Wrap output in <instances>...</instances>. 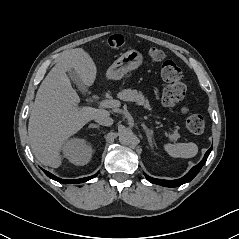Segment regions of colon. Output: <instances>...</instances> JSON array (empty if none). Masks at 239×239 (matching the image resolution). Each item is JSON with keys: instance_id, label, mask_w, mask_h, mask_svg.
Listing matches in <instances>:
<instances>
[{"instance_id": "colon-1", "label": "colon", "mask_w": 239, "mask_h": 239, "mask_svg": "<svg viewBox=\"0 0 239 239\" xmlns=\"http://www.w3.org/2000/svg\"><path fill=\"white\" fill-rule=\"evenodd\" d=\"M123 44L124 40L120 35H113L107 40V46L112 49H119ZM149 54L153 61L162 62L161 77L166 83L162 92V103L166 107H174L186 93L182 70L174 61L165 59V54L159 49L152 48ZM183 114L186 116V126L190 132L201 134L204 131L205 121L201 115L189 113L187 109H183Z\"/></svg>"}]
</instances>
